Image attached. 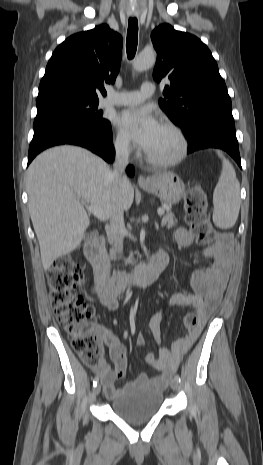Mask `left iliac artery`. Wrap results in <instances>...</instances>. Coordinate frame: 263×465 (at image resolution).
I'll list each match as a JSON object with an SVG mask.
<instances>
[{"label":"left iliac artery","instance_id":"1","mask_svg":"<svg viewBox=\"0 0 263 465\" xmlns=\"http://www.w3.org/2000/svg\"><path fill=\"white\" fill-rule=\"evenodd\" d=\"M174 378H175V379H176L178 382H180V381H181V379H180V376H179V375H177V374L175 375V377H174Z\"/></svg>","mask_w":263,"mask_h":465}]
</instances>
